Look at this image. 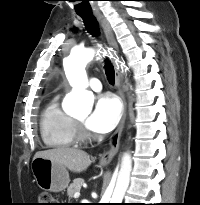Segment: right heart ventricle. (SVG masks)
Wrapping results in <instances>:
<instances>
[{"label":"right heart ventricle","instance_id":"right-heart-ventricle-1","mask_svg":"<svg viewBox=\"0 0 200 205\" xmlns=\"http://www.w3.org/2000/svg\"><path fill=\"white\" fill-rule=\"evenodd\" d=\"M40 133L44 144L50 148H69L76 141L73 118L60 108L57 96L42 110Z\"/></svg>","mask_w":200,"mask_h":205}]
</instances>
